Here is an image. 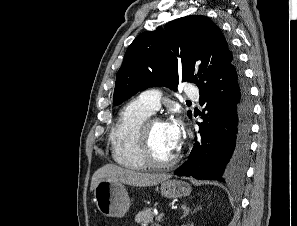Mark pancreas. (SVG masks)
<instances>
[{
    "label": "pancreas",
    "mask_w": 297,
    "mask_h": 226,
    "mask_svg": "<svg viewBox=\"0 0 297 226\" xmlns=\"http://www.w3.org/2000/svg\"><path fill=\"white\" fill-rule=\"evenodd\" d=\"M153 217L152 208H144L135 216V222L141 226H147L149 223H152Z\"/></svg>",
    "instance_id": "pancreas-1"
}]
</instances>
